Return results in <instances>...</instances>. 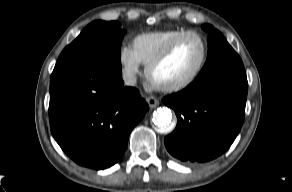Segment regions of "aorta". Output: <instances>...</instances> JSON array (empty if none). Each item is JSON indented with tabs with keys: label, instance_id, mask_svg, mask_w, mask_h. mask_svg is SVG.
<instances>
[{
	"label": "aorta",
	"instance_id": "1",
	"mask_svg": "<svg viewBox=\"0 0 292 192\" xmlns=\"http://www.w3.org/2000/svg\"><path fill=\"white\" fill-rule=\"evenodd\" d=\"M172 112L168 108H158L153 113V123L161 133H168L172 130Z\"/></svg>",
	"mask_w": 292,
	"mask_h": 192
}]
</instances>
